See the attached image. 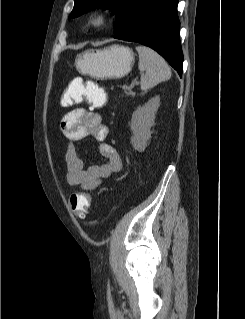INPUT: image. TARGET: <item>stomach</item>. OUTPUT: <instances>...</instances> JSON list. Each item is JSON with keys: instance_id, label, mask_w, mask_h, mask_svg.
I'll return each mask as SVG.
<instances>
[{"instance_id": "0dacf381", "label": "stomach", "mask_w": 245, "mask_h": 319, "mask_svg": "<svg viewBox=\"0 0 245 319\" xmlns=\"http://www.w3.org/2000/svg\"><path fill=\"white\" fill-rule=\"evenodd\" d=\"M75 64L79 72L92 78L119 79L131 71L134 53L129 47L112 45L77 55Z\"/></svg>"}]
</instances>
